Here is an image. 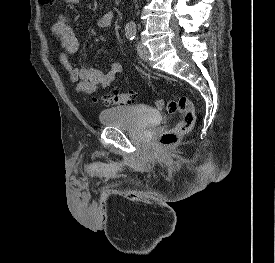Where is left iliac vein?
Here are the masks:
<instances>
[{
  "instance_id": "1",
  "label": "left iliac vein",
  "mask_w": 275,
  "mask_h": 263,
  "mask_svg": "<svg viewBox=\"0 0 275 263\" xmlns=\"http://www.w3.org/2000/svg\"><path fill=\"white\" fill-rule=\"evenodd\" d=\"M137 53L143 61L148 60V57H149L148 49L140 41L137 42Z\"/></svg>"
}]
</instances>
